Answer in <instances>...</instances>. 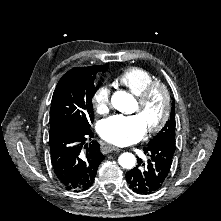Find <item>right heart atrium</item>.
I'll return each instance as SVG.
<instances>
[{
	"mask_svg": "<svg viewBox=\"0 0 221 221\" xmlns=\"http://www.w3.org/2000/svg\"><path fill=\"white\" fill-rule=\"evenodd\" d=\"M94 110L100 114L108 112L111 104L110 90L107 85H102L95 89L91 97Z\"/></svg>",
	"mask_w": 221,
	"mask_h": 221,
	"instance_id": "obj_1",
	"label": "right heart atrium"
}]
</instances>
